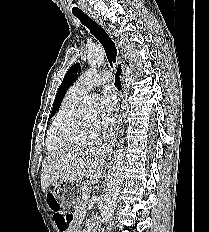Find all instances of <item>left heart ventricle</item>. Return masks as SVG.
Returning <instances> with one entry per match:
<instances>
[{"label": "left heart ventricle", "instance_id": "1", "mask_svg": "<svg viewBox=\"0 0 209 232\" xmlns=\"http://www.w3.org/2000/svg\"><path fill=\"white\" fill-rule=\"evenodd\" d=\"M83 118L85 123L90 127H95L97 125V113L94 110L84 109Z\"/></svg>", "mask_w": 209, "mask_h": 232}]
</instances>
